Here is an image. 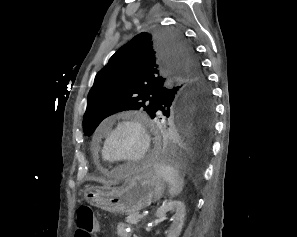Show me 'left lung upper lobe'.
Listing matches in <instances>:
<instances>
[{"mask_svg":"<svg viewBox=\"0 0 297 237\" xmlns=\"http://www.w3.org/2000/svg\"><path fill=\"white\" fill-rule=\"evenodd\" d=\"M211 91L193 49L175 31L141 33L98 72L88 94L83 130L90 136L119 111L143 108L159 118L172 105L210 101Z\"/></svg>","mask_w":297,"mask_h":237,"instance_id":"obj_1","label":"left lung upper lobe"}]
</instances>
